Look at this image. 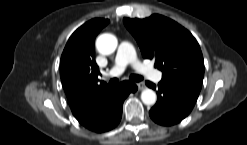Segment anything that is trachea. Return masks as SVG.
<instances>
[{"mask_svg": "<svg viewBox=\"0 0 247 145\" xmlns=\"http://www.w3.org/2000/svg\"><path fill=\"white\" fill-rule=\"evenodd\" d=\"M130 79L135 81V82H140L143 80V77L140 75L132 74V75H130ZM118 82H119L118 78H113L110 80L109 84L116 85V84H118Z\"/></svg>", "mask_w": 247, "mask_h": 145, "instance_id": "obj_1", "label": "trachea"}]
</instances>
